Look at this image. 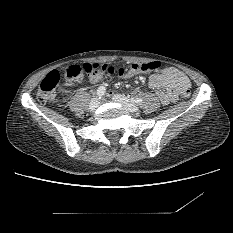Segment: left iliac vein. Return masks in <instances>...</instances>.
Instances as JSON below:
<instances>
[{
	"label": "left iliac vein",
	"instance_id": "1",
	"mask_svg": "<svg viewBox=\"0 0 233 233\" xmlns=\"http://www.w3.org/2000/svg\"><path fill=\"white\" fill-rule=\"evenodd\" d=\"M113 100L117 103L122 104L130 113H135L138 111V107L135 104L131 103L130 100L124 95L116 94L113 96Z\"/></svg>",
	"mask_w": 233,
	"mask_h": 233
}]
</instances>
